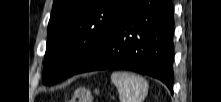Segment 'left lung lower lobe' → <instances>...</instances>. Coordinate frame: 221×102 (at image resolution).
<instances>
[{
    "mask_svg": "<svg viewBox=\"0 0 221 102\" xmlns=\"http://www.w3.org/2000/svg\"><path fill=\"white\" fill-rule=\"evenodd\" d=\"M174 17L170 0H130L75 74L126 69L161 80L173 92Z\"/></svg>",
    "mask_w": 221,
    "mask_h": 102,
    "instance_id": "left-lung-lower-lobe-1",
    "label": "left lung lower lobe"
}]
</instances>
